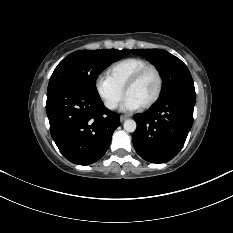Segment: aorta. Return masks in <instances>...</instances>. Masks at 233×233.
Instances as JSON below:
<instances>
[{
    "label": "aorta",
    "instance_id": "1",
    "mask_svg": "<svg viewBox=\"0 0 233 233\" xmlns=\"http://www.w3.org/2000/svg\"><path fill=\"white\" fill-rule=\"evenodd\" d=\"M124 130L127 132H134L137 128V124L134 120L128 119L123 124Z\"/></svg>",
    "mask_w": 233,
    "mask_h": 233
}]
</instances>
